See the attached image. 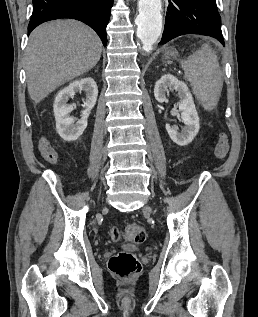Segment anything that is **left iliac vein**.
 <instances>
[{"mask_svg":"<svg viewBox=\"0 0 258 317\" xmlns=\"http://www.w3.org/2000/svg\"><path fill=\"white\" fill-rule=\"evenodd\" d=\"M150 210H151V209H150L149 206H144V207H143V212H144V213H149Z\"/></svg>","mask_w":258,"mask_h":317,"instance_id":"1","label":"left iliac vein"}]
</instances>
